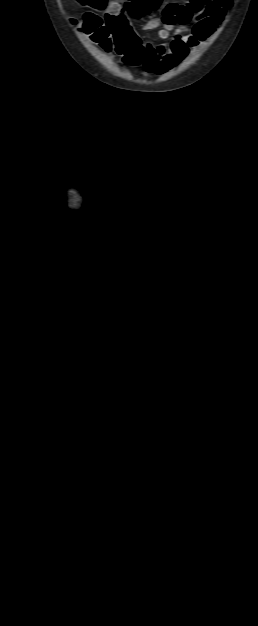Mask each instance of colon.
Masks as SVG:
<instances>
[{
    "label": "colon",
    "mask_w": 258,
    "mask_h": 626,
    "mask_svg": "<svg viewBox=\"0 0 258 626\" xmlns=\"http://www.w3.org/2000/svg\"><path fill=\"white\" fill-rule=\"evenodd\" d=\"M77 2L95 10H104L113 3V0H77ZM159 4L160 0H127L126 2V6L129 7L135 15H143L151 10H155ZM82 28L94 41L99 42L106 48L107 42L105 38L107 34L102 27V20L98 15L94 12H86L83 16Z\"/></svg>",
    "instance_id": "5ec220e1"
}]
</instances>
